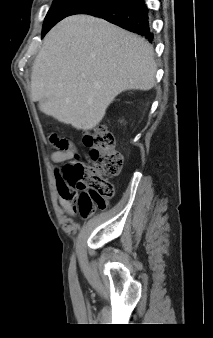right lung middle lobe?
<instances>
[{"label": "right lung middle lobe", "instance_id": "obj_1", "mask_svg": "<svg viewBox=\"0 0 213 338\" xmlns=\"http://www.w3.org/2000/svg\"><path fill=\"white\" fill-rule=\"evenodd\" d=\"M91 0H54L52 7L48 11L42 30V37L59 21L70 16L81 5L89 3Z\"/></svg>", "mask_w": 213, "mask_h": 338}]
</instances>
